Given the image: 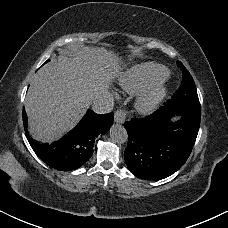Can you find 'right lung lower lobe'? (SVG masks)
<instances>
[{"label":"right lung lower lobe","instance_id":"right-lung-lower-lobe-1","mask_svg":"<svg viewBox=\"0 0 228 228\" xmlns=\"http://www.w3.org/2000/svg\"><path fill=\"white\" fill-rule=\"evenodd\" d=\"M113 119V113L99 115L89 109L74 129L50 145L33 140L26 127L24 129L31 147L43 162L54 169L70 171L79 168L92 156L95 137L105 134ZM23 121L26 125L25 111Z\"/></svg>","mask_w":228,"mask_h":228}]
</instances>
